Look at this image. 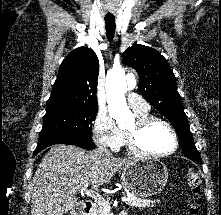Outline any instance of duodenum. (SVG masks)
Listing matches in <instances>:
<instances>
[{
  "instance_id": "1",
  "label": "duodenum",
  "mask_w": 221,
  "mask_h": 215,
  "mask_svg": "<svg viewBox=\"0 0 221 215\" xmlns=\"http://www.w3.org/2000/svg\"><path fill=\"white\" fill-rule=\"evenodd\" d=\"M94 209H95V204L92 201H86L74 215H92ZM120 215H126V214L122 213Z\"/></svg>"
}]
</instances>
